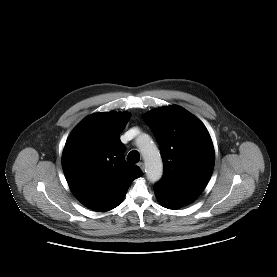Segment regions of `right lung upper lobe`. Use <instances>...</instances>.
I'll return each instance as SVG.
<instances>
[{
	"mask_svg": "<svg viewBox=\"0 0 277 277\" xmlns=\"http://www.w3.org/2000/svg\"><path fill=\"white\" fill-rule=\"evenodd\" d=\"M129 115L101 112L82 120L71 132L62 154L69 187L88 208L105 212L121 201L142 172L125 161L120 133Z\"/></svg>",
	"mask_w": 277,
	"mask_h": 277,
	"instance_id": "obj_1",
	"label": "right lung upper lobe"
}]
</instances>
